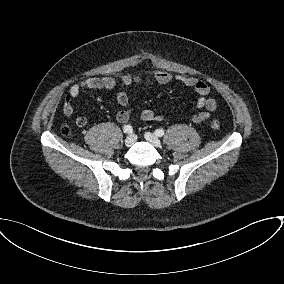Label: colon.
I'll return each mask as SVG.
<instances>
[{"instance_id": "1", "label": "colon", "mask_w": 284, "mask_h": 284, "mask_svg": "<svg viewBox=\"0 0 284 284\" xmlns=\"http://www.w3.org/2000/svg\"><path fill=\"white\" fill-rule=\"evenodd\" d=\"M211 127L214 129V130H219L220 129V122L216 119H212L211 120ZM62 133L64 135H70L71 134V130L69 127H63L62 129Z\"/></svg>"}]
</instances>
